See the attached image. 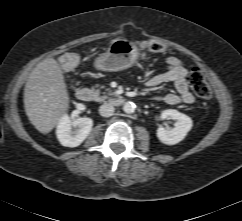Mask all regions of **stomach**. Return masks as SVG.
<instances>
[{"label":"stomach","mask_w":242,"mask_h":221,"mask_svg":"<svg viewBox=\"0 0 242 221\" xmlns=\"http://www.w3.org/2000/svg\"><path fill=\"white\" fill-rule=\"evenodd\" d=\"M142 57L137 44L124 38L111 41L105 53L94 60V67L99 71L117 72L134 65Z\"/></svg>","instance_id":"stomach-1"}]
</instances>
